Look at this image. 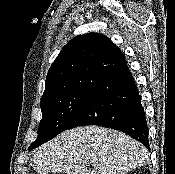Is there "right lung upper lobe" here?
Instances as JSON below:
<instances>
[{
  "instance_id": "right-lung-upper-lobe-1",
  "label": "right lung upper lobe",
  "mask_w": 175,
  "mask_h": 174,
  "mask_svg": "<svg viewBox=\"0 0 175 174\" xmlns=\"http://www.w3.org/2000/svg\"><path fill=\"white\" fill-rule=\"evenodd\" d=\"M127 65L121 50L98 33L80 35L64 46L50 67L41 98L90 88Z\"/></svg>"
}]
</instances>
